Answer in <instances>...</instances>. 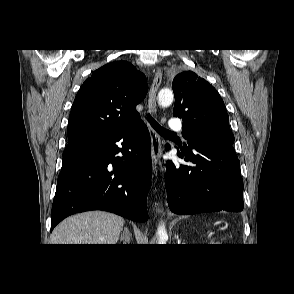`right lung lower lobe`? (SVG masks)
I'll return each mask as SVG.
<instances>
[{
    "label": "right lung lower lobe",
    "instance_id": "98d812e1",
    "mask_svg": "<svg viewBox=\"0 0 294 294\" xmlns=\"http://www.w3.org/2000/svg\"><path fill=\"white\" fill-rule=\"evenodd\" d=\"M150 148V134L140 117L114 132L69 143L63 152L51 230L67 216L89 210L147 221Z\"/></svg>",
    "mask_w": 294,
    "mask_h": 294
}]
</instances>
